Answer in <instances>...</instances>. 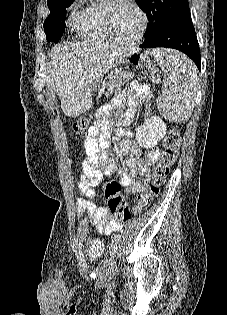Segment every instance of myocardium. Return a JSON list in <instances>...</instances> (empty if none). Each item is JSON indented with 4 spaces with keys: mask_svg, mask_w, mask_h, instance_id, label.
I'll use <instances>...</instances> for the list:
<instances>
[{
    "mask_svg": "<svg viewBox=\"0 0 227 315\" xmlns=\"http://www.w3.org/2000/svg\"><path fill=\"white\" fill-rule=\"evenodd\" d=\"M121 4H127L132 6L140 15L142 19L141 28L138 35L131 41H122L118 38L114 25L113 18L114 13L117 7ZM149 23L148 15L143 10V8L135 1V0H107V3L104 6V25L106 32L110 36L111 40L115 43L126 45V46H134L141 42L143 39L145 32L147 30Z\"/></svg>",
    "mask_w": 227,
    "mask_h": 315,
    "instance_id": "obj_1",
    "label": "myocardium"
}]
</instances>
